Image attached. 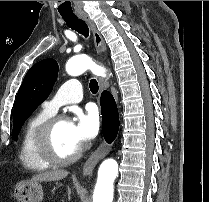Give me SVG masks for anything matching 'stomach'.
Here are the masks:
<instances>
[{
    "mask_svg": "<svg viewBox=\"0 0 209 202\" xmlns=\"http://www.w3.org/2000/svg\"><path fill=\"white\" fill-rule=\"evenodd\" d=\"M13 196L18 202H42V186L38 182L20 181L14 186Z\"/></svg>",
    "mask_w": 209,
    "mask_h": 202,
    "instance_id": "0dacf381",
    "label": "stomach"
}]
</instances>
